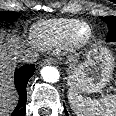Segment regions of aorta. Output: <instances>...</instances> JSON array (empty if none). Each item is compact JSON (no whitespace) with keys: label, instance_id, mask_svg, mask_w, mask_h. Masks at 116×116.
<instances>
[{"label":"aorta","instance_id":"aorta-1","mask_svg":"<svg viewBox=\"0 0 116 116\" xmlns=\"http://www.w3.org/2000/svg\"><path fill=\"white\" fill-rule=\"evenodd\" d=\"M41 76L44 81L49 83H55L59 80V71L52 66H45L41 69Z\"/></svg>","mask_w":116,"mask_h":116}]
</instances>
